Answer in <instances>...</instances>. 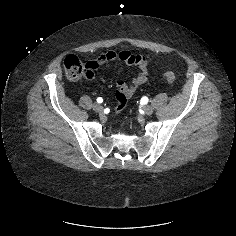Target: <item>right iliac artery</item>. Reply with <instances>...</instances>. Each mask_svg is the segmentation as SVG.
<instances>
[{"mask_svg": "<svg viewBox=\"0 0 236 236\" xmlns=\"http://www.w3.org/2000/svg\"><path fill=\"white\" fill-rule=\"evenodd\" d=\"M97 102L98 103H102L103 102V99L101 97L97 98Z\"/></svg>", "mask_w": 236, "mask_h": 236, "instance_id": "82829eb1", "label": "right iliac artery"}]
</instances>
